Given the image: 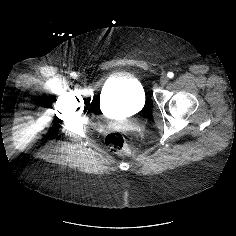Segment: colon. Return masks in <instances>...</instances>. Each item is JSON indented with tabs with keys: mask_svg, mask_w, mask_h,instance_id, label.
Here are the masks:
<instances>
[{
	"mask_svg": "<svg viewBox=\"0 0 236 236\" xmlns=\"http://www.w3.org/2000/svg\"><path fill=\"white\" fill-rule=\"evenodd\" d=\"M107 147L115 153L128 155L130 149L126 143L125 137L119 132H111L105 138Z\"/></svg>",
	"mask_w": 236,
	"mask_h": 236,
	"instance_id": "colon-1",
	"label": "colon"
}]
</instances>
